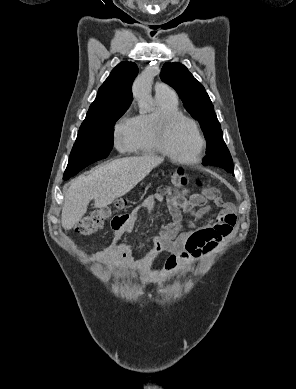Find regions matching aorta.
<instances>
[{"label":"aorta","instance_id":"762f6f07","mask_svg":"<svg viewBox=\"0 0 296 389\" xmlns=\"http://www.w3.org/2000/svg\"><path fill=\"white\" fill-rule=\"evenodd\" d=\"M157 71L154 67L146 68L135 80L133 84V95L140 103L150 102V90L154 76Z\"/></svg>","mask_w":296,"mask_h":389}]
</instances>
